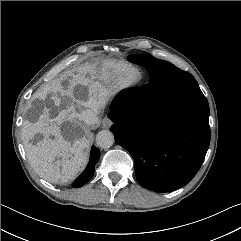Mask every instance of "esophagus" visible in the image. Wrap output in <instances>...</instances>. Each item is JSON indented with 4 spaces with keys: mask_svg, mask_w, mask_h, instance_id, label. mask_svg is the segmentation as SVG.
Here are the masks:
<instances>
[{
    "mask_svg": "<svg viewBox=\"0 0 241 241\" xmlns=\"http://www.w3.org/2000/svg\"><path fill=\"white\" fill-rule=\"evenodd\" d=\"M112 125V121L109 118H104L102 121L103 128H109Z\"/></svg>",
    "mask_w": 241,
    "mask_h": 241,
    "instance_id": "esophagus-1",
    "label": "esophagus"
}]
</instances>
